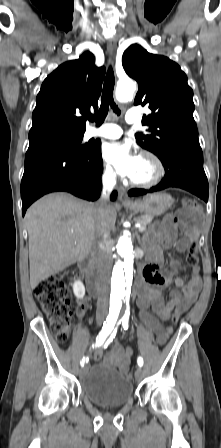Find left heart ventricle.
Listing matches in <instances>:
<instances>
[{
    "label": "left heart ventricle",
    "instance_id": "left-heart-ventricle-1",
    "mask_svg": "<svg viewBox=\"0 0 221 448\" xmlns=\"http://www.w3.org/2000/svg\"><path fill=\"white\" fill-rule=\"evenodd\" d=\"M153 175V167L152 164L146 160L142 159L140 161V166L133 179H147Z\"/></svg>",
    "mask_w": 221,
    "mask_h": 448
}]
</instances>
